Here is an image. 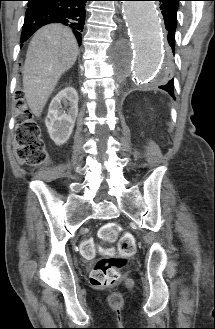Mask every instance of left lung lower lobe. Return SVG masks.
I'll use <instances>...</instances> for the list:
<instances>
[{
  "mask_svg": "<svg viewBox=\"0 0 215 329\" xmlns=\"http://www.w3.org/2000/svg\"><path fill=\"white\" fill-rule=\"evenodd\" d=\"M160 2V9L162 10V15L165 21V28L167 30V40H168V67L167 70L170 72L172 67V55L175 52V31L177 25V9L178 2L180 0H156ZM160 89L167 91L173 98L174 97V84L173 79L168 82L163 83L159 86Z\"/></svg>",
  "mask_w": 215,
  "mask_h": 329,
  "instance_id": "obj_1",
  "label": "left lung lower lobe"
}]
</instances>
